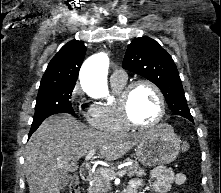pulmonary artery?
Here are the masks:
<instances>
[{"mask_svg":"<svg viewBox=\"0 0 221 193\" xmlns=\"http://www.w3.org/2000/svg\"><path fill=\"white\" fill-rule=\"evenodd\" d=\"M126 79H127V74L121 68H118V69L114 70L112 75H111V80L112 81L122 82V81H126Z\"/></svg>","mask_w":221,"mask_h":193,"instance_id":"obj_1","label":"pulmonary artery"}]
</instances>
